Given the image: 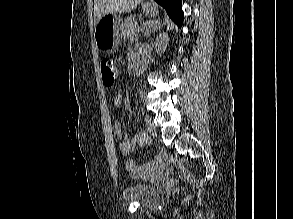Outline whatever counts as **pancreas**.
<instances>
[{"instance_id": "pancreas-1", "label": "pancreas", "mask_w": 293, "mask_h": 219, "mask_svg": "<svg viewBox=\"0 0 293 219\" xmlns=\"http://www.w3.org/2000/svg\"><path fill=\"white\" fill-rule=\"evenodd\" d=\"M140 28L137 27L135 16L128 17L122 24V35L124 37L133 36Z\"/></svg>"}]
</instances>
